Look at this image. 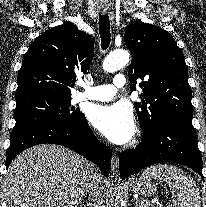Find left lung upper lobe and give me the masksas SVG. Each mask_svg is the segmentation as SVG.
I'll list each match as a JSON object with an SVG mask.
<instances>
[{"instance_id":"5c2ea615","label":"left lung upper lobe","mask_w":206,"mask_h":207,"mask_svg":"<svg viewBox=\"0 0 206 207\" xmlns=\"http://www.w3.org/2000/svg\"><path fill=\"white\" fill-rule=\"evenodd\" d=\"M132 54L129 79L143 82L142 102L135 103L143 133L151 132L162 120L193 117L188 68L173 37L164 29L139 21L131 22L124 35Z\"/></svg>"}]
</instances>
